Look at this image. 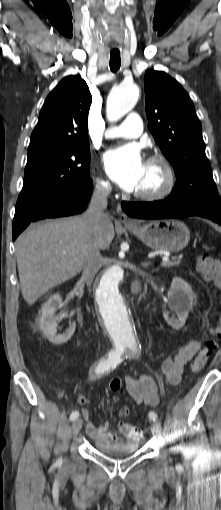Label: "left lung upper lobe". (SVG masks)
Instances as JSON below:
<instances>
[{"instance_id":"left-lung-upper-lobe-1","label":"left lung upper lobe","mask_w":221,"mask_h":510,"mask_svg":"<svg viewBox=\"0 0 221 510\" xmlns=\"http://www.w3.org/2000/svg\"><path fill=\"white\" fill-rule=\"evenodd\" d=\"M148 128L172 164L177 182L170 202L220 205L210 162L205 154L201 123L182 86L161 71L145 74Z\"/></svg>"}]
</instances>
